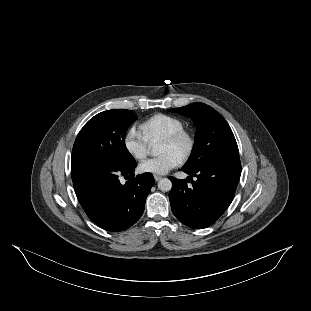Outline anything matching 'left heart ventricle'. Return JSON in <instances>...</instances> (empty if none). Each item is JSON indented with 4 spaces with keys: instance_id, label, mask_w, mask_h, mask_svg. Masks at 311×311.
<instances>
[{
    "instance_id": "left-heart-ventricle-1",
    "label": "left heart ventricle",
    "mask_w": 311,
    "mask_h": 311,
    "mask_svg": "<svg viewBox=\"0 0 311 311\" xmlns=\"http://www.w3.org/2000/svg\"><path fill=\"white\" fill-rule=\"evenodd\" d=\"M185 147H186L185 143H183L181 145H172V144H169V143L163 141V144H162L161 149H160V153L164 154L167 152H175L176 154H178L181 157Z\"/></svg>"
}]
</instances>
